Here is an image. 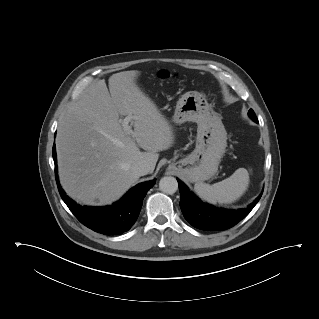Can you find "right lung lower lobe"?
I'll return each mask as SVG.
<instances>
[{"label": "right lung lower lobe", "mask_w": 319, "mask_h": 319, "mask_svg": "<svg viewBox=\"0 0 319 319\" xmlns=\"http://www.w3.org/2000/svg\"><path fill=\"white\" fill-rule=\"evenodd\" d=\"M55 175L61 198L75 217L86 227L105 235H120L135 223L142 207V200L155 180L136 185L118 202L106 207H86L76 204L62 190L57 177L55 143L53 146Z\"/></svg>", "instance_id": "1"}]
</instances>
